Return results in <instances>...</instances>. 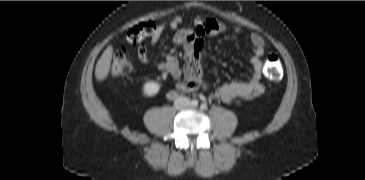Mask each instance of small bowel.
<instances>
[{"label":"small bowel","mask_w":365,"mask_h":180,"mask_svg":"<svg viewBox=\"0 0 365 180\" xmlns=\"http://www.w3.org/2000/svg\"><path fill=\"white\" fill-rule=\"evenodd\" d=\"M182 23V17L174 16L167 25L159 24L151 37L150 45L154 52L163 56L162 60L153 61L144 46L139 47L138 57L142 63L153 65L173 78L180 79L184 77L186 82L180 83L178 86L181 91L206 89L209 87V82L204 78L201 70L204 40L207 37L226 34L229 29L223 23L210 18H192L193 27L191 28H181ZM166 27L174 32L173 43L182 47L184 51L185 62L183 67L179 65L175 56L163 55L158 50V42ZM237 31L239 30L237 29ZM250 42L253 50L250 57V64L253 67L251 77L246 81H233L219 85L213 92L215 98L225 102H234L236 100H250L264 93L265 86L262 83L264 65L261 57L265 52V40L261 35L253 33L250 35ZM174 96L175 92L169 94V98Z\"/></svg>","instance_id":"1"}]
</instances>
